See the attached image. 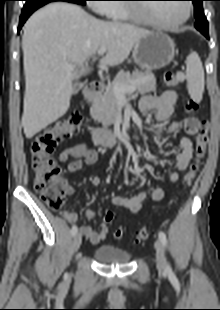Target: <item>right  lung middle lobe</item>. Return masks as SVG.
<instances>
[{
  "instance_id": "1",
  "label": "right lung middle lobe",
  "mask_w": 220,
  "mask_h": 310,
  "mask_svg": "<svg viewBox=\"0 0 220 310\" xmlns=\"http://www.w3.org/2000/svg\"><path fill=\"white\" fill-rule=\"evenodd\" d=\"M25 1H26L25 5H33V4H39V3L50 1V0H25ZM73 1L80 2L82 5H84L86 0H73Z\"/></svg>"
}]
</instances>
